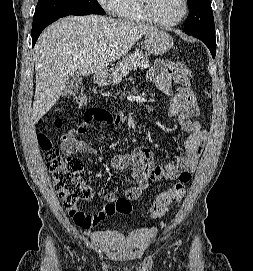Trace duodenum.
Here are the masks:
<instances>
[{"instance_id": "duodenum-1", "label": "duodenum", "mask_w": 253, "mask_h": 271, "mask_svg": "<svg viewBox=\"0 0 253 271\" xmlns=\"http://www.w3.org/2000/svg\"><path fill=\"white\" fill-rule=\"evenodd\" d=\"M103 80V74L99 73L97 74V81L101 82Z\"/></svg>"}]
</instances>
